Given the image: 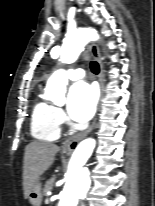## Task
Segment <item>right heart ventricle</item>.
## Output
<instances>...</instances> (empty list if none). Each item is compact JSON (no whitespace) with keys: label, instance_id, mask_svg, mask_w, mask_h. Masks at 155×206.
<instances>
[{"label":"right heart ventricle","instance_id":"obj_1","mask_svg":"<svg viewBox=\"0 0 155 206\" xmlns=\"http://www.w3.org/2000/svg\"><path fill=\"white\" fill-rule=\"evenodd\" d=\"M55 108L45 100H39L34 105L31 116V133L42 141H55L60 136V123L57 120Z\"/></svg>","mask_w":155,"mask_h":206}]
</instances>
